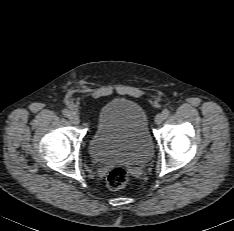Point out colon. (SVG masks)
<instances>
[{
  "label": "colon",
  "instance_id": "obj_1",
  "mask_svg": "<svg viewBox=\"0 0 234 231\" xmlns=\"http://www.w3.org/2000/svg\"><path fill=\"white\" fill-rule=\"evenodd\" d=\"M128 172L123 168L112 169L107 176V186L111 190L122 189L128 182Z\"/></svg>",
  "mask_w": 234,
  "mask_h": 231
}]
</instances>
